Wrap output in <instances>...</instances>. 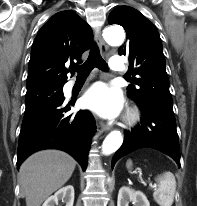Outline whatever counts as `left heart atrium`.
<instances>
[{
	"label": "left heart atrium",
	"instance_id": "1",
	"mask_svg": "<svg viewBox=\"0 0 197 206\" xmlns=\"http://www.w3.org/2000/svg\"><path fill=\"white\" fill-rule=\"evenodd\" d=\"M83 102L105 117L116 115L122 104L120 93L108 88L103 83H97L86 93Z\"/></svg>",
	"mask_w": 197,
	"mask_h": 206
}]
</instances>
